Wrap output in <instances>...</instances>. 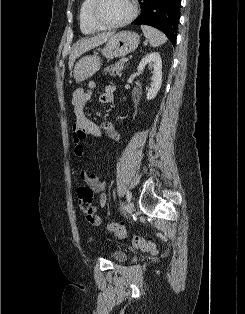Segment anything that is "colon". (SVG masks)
<instances>
[{
	"label": "colon",
	"mask_w": 245,
	"mask_h": 314,
	"mask_svg": "<svg viewBox=\"0 0 245 314\" xmlns=\"http://www.w3.org/2000/svg\"><path fill=\"white\" fill-rule=\"evenodd\" d=\"M77 199L78 205L80 209L86 213L90 214L93 210V189L89 186H81L77 190ZM106 230L108 232L114 233L116 236L123 238L125 236V228L119 223H110L106 226ZM132 244L134 247L147 251L151 254L158 253V247L150 242L145 241L141 237H134L132 240Z\"/></svg>",
	"instance_id": "colon-1"
}]
</instances>
